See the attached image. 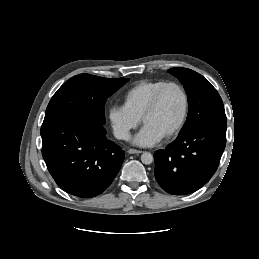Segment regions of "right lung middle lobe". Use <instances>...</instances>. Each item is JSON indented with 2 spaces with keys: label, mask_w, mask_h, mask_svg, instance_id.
<instances>
[{
  "label": "right lung middle lobe",
  "mask_w": 259,
  "mask_h": 259,
  "mask_svg": "<svg viewBox=\"0 0 259 259\" xmlns=\"http://www.w3.org/2000/svg\"><path fill=\"white\" fill-rule=\"evenodd\" d=\"M128 80V78H102L90 74H80L70 78L51 98L43 123L67 115H81L104 125L106 99Z\"/></svg>",
  "instance_id": "right-lung-middle-lobe-1"
}]
</instances>
